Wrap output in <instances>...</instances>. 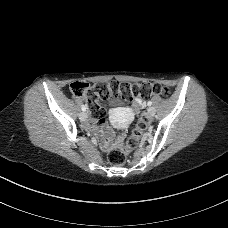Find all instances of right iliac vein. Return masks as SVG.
Returning a JSON list of instances; mask_svg holds the SVG:
<instances>
[{"label":"right iliac vein","instance_id":"1","mask_svg":"<svg viewBox=\"0 0 228 228\" xmlns=\"http://www.w3.org/2000/svg\"><path fill=\"white\" fill-rule=\"evenodd\" d=\"M79 119H80L82 122L86 121V119H87V114H86L85 112H81V113L79 114Z\"/></svg>","mask_w":228,"mask_h":228}]
</instances>
